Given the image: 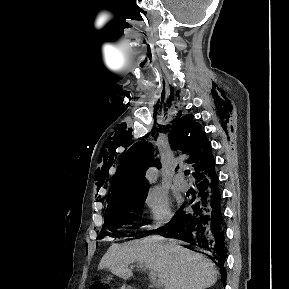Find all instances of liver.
<instances>
[{"label": "liver", "mask_w": 289, "mask_h": 289, "mask_svg": "<svg viewBox=\"0 0 289 289\" xmlns=\"http://www.w3.org/2000/svg\"><path fill=\"white\" fill-rule=\"evenodd\" d=\"M138 262L158 274L165 289H205L217 281L215 265L202 254L152 236L124 244H112L102 257L99 269L129 279V264Z\"/></svg>", "instance_id": "1"}]
</instances>
